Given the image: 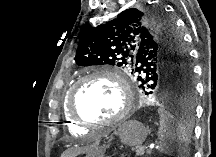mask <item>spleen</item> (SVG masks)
Returning a JSON list of instances; mask_svg holds the SVG:
<instances>
[{
	"label": "spleen",
	"instance_id": "spleen-1",
	"mask_svg": "<svg viewBox=\"0 0 216 157\" xmlns=\"http://www.w3.org/2000/svg\"><path fill=\"white\" fill-rule=\"evenodd\" d=\"M158 114L160 117L159 151L169 156L186 157L190 141L186 123L163 108L158 109Z\"/></svg>",
	"mask_w": 216,
	"mask_h": 157
}]
</instances>
